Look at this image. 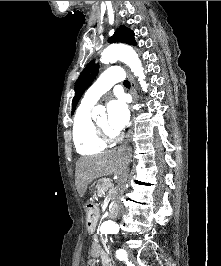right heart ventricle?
<instances>
[{
	"mask_svg": "<svg viewBox=\"0 0 221 266\" xmlns=\"http://www.w3.org/2000/svg\"><path fill=\"white\" fill-rule=\"evenodd\" d=\"M91 106L81 104L77 109L73 121V142L77 152L81 155H96L102 152L107 144L103 141L90 115Z\"/></svg>",
	"mask_w": 221,
	"mask_h": 266,
	"instance_id": "obj_1",
	"label": "right heart ventricle"
}]
</instances>
